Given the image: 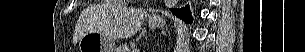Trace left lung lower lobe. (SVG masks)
Segmentation results:
<instances>
[{
    "label": "left lung lower lobe",
    "mask_w": 305,
    "mask_h": 52,
    "mask_svg": "<svg viewBox=\"0 0 305 52\" xmlns=\"http://www.w3.org/2000/svg\"><path fill=\"white\" fill-rule=\"evenodd\" d=\"M174 14H176L179 18L192 23L193 19L191 17L188 6L182 9H170Z\"/></svg>",
    "instance_id": "0a47b994"
}]
</instances>
